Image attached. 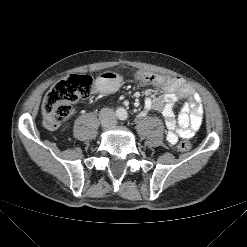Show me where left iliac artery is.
<instances>
[{
	"label": "left iliac artery",
	"instance_id": "left-iliac-artery-1",
	"mask_svg": "<svg viewBox=\"0 0 247 247\" xmlns=\"http://www.w3.org/2000/svg\"><path fill=\"white\" fill-rule=\"evenodd\" d=\"M127 119V114H123L122 117H121V120H126Z\"/></svg>",
	"mask_w": 247,
	"mask_h": 247
}]
</instances>
